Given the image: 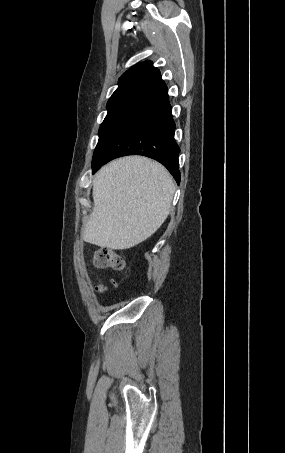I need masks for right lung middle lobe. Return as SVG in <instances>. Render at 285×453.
Returning a JSON list of instances; mask_svg holds the SVG:
<instances>
[{
    "label": "right lung middle lobe",
    "instance_id": "1",
    "mask_svg": "<svg viewBox=\"0 0 285 453\" xmlns=\"http://www.w3.org/2000/svg\"><path fill=\"white\" fill-rule=\"evenodd\" d=\"M125 100L126 99H115V100L108 101V103H107L108 113L99 128V141L95 148V151L98 148L100 141H101L102 137L104 136L105 132L107 131L113 117L115 116V114L117 113V111L119 110V108L121 107V105L124 103ZM95 151H94V153H95Z\"/></svg>",
    "mask_w": 285,
    "mask_h": 453
}]
</instances>
